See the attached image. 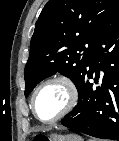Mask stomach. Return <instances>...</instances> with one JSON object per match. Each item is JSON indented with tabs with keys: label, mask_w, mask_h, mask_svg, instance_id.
I'll list each match as a JSON object with an SVG mask.
<instances>
[{
	"label": "stomach",
	"mask_w": 119,
	"mask_h": 141,
	"mask_svg": "<svg viewBox=\"0 0 119 141\" xmlns=\"http://www.w3.org/2000/svg\"><path fill=\"white\" fill-rule=\"evenodd\" d=\"M50 141H83V139L77 135H57L53 134L49 137Z\"/></svg>",
	"instance_id": "obj_1"
}]
</instances>
